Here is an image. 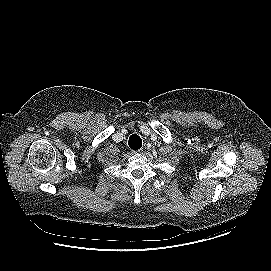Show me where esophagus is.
I'll list each match as a JSON object with an SVG mask.
<instances>
[{
	"instance_id": "esophagus-1",
	"label": "esophagus",
	"mask_w": 271,
	"mask_h": 271,
	"mask_svg": "<svg viewBox=\"0 0 271 271\" xmlns=\"http://www.w3.org/2000/svg\"><path fill=\"white\" fill-rule=\"evenodd\" d=\"M142 150L132 151V154L141 153Z\"/></svg>"
}]
</instances>
